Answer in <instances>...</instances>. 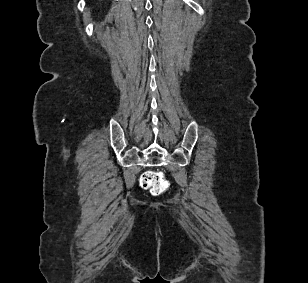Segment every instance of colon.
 I'll use <instances>...</instances> for the list:
<instances>
[{
	"label": "colon",
	"mask_w": 308,
	"mask_h": 283,
	"mask_svg": "<svg viewBox=\"0 0 308 283\" xmlns=\"http://www.w3.org/2000/svg\"><path fill=\"white\" fill-rule=\"evenodd\" d=\"M140 185L142 188L150 190L152 194L160 195L167 190L168 181L162 172L148 170L142 174Z\"/></svg>",
	"instance_id": "5ec220e1"
}]
</instances>
